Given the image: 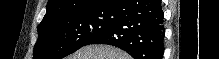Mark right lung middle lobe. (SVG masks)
<instances>
[{
  "label": "right lung middle lobe",
  "mask_w": 219,
  "mask_h": 59,
  "mask_svg": "<svg viewBox=\"0 0 219 59\" xmlns=\"http://www.w3.org/2000/svg\"><path fill=\"white\" fill-rule=\"evenodd\" d=\"M113 9L61 17L40 24L34 59H62L77 51L113 21Z\"/></svg>",
  "instance_id": "obj_1"
}]
</instances>
